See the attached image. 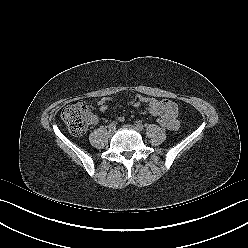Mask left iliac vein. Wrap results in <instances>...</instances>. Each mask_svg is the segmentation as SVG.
<instances>
[{
  "mask_svg": "<svg viewBox=\"0 0 248 248\" xmlns=\"http://www.w3.org/2000/svg\"><path fill=\"white\" fill-rule=\"evenodd\" d=\"M124 127L131 128V129H133L135 131H139V129L136 126H133V125H125Z\"/></svg>",
  "mask_w": 248,
  "mask_h": 248,
  "instance_id": "obj_1",
  "label": "left iliac vein"
}]
</instances>
